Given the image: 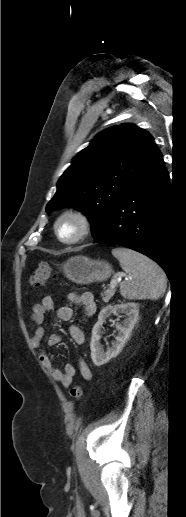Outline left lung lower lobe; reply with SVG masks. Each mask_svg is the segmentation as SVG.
<instances>
[{"label":"left lung lower lobe","instance_id":"1","mask_svg":"<svg viewBox=\"0 0 186 517\" xmlns=\"http://www.w3.org/2000/svg\"><path fill=\"white\" fill-rule=\"evenodd\" d=\"M169 174L161 153L109 213L94 243L120 245L157 262L170 279Z\"/></svg>","mask_w":186,"mask_h":517}]
</instances>
